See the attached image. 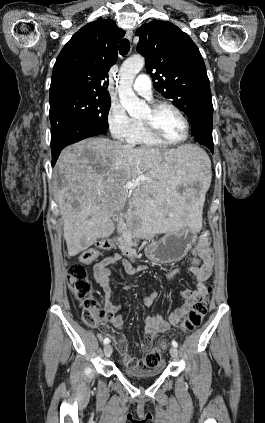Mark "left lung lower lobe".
I'll list each match as a JSON object with an SVG mask.
<instances>
[{
    "instance_id": "1",
    "label": "left lung lower lobe",
    "mask_w": 265,
    "mask_h": 423,
    "mask_svg": "<svg viewBox=\"0 0 265 423\" xmlns=\"http://www.w3.org/2000/svg\"><path fill=\"white\" fill-rule=\"evenodd\" d=\"M212 120L213 105H209L199 112L192 135L195 141L206 146L213 153Z\"/></svg>"
}]
</instances>
